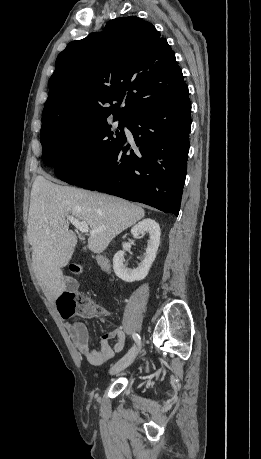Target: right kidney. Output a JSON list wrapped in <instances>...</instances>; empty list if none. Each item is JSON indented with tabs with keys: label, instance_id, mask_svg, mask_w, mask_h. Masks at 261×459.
<instances>
[{
	"label": "right kidney",
	"instance_id": "right-kidney-1",
	"mask_svg": "<svg viewBox=\"0 0 261 459\" xmlns=\"http://www.w3.org/2000/svg\"><path fill=\"white\" fill-rule=\"evenodd\" d=\"M145 232L149 233L150 238L147 241L146 252L137 268L129 269L124 263L125 250H129L131 248V245L134 243L133 240L123 243V250L118 251L113 257L114 273L125 282L130 283L143 280L148 275L150 267L156 258V253L160 243V226L155 220L147 218L133 226L131 229V234L134 237H138L140 234H145Z\"/></svg>",
	"mask_w": 261,
	"mask_h": 459
}]
</instances>
